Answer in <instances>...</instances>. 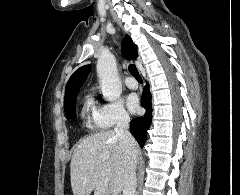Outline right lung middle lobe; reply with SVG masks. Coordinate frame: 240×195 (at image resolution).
<instances>
[{"label": "right lung middle lobe", "mask_w": 240, "mask_h": 195, "mask_svg": "<svg viewBox=\"0 0 240 195\" xmlns=\"http://www.w3.org/2000/svg\"><path fill=\"white\" fill-rule=\"evenodd\" d=\"M75 104L76 101L70 103V105L65 107V113L67 119H74L75 118Z\"/></svg>", "instance_id": "dd1d6c3e"}]
</instances>
